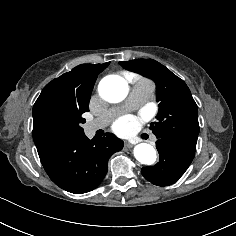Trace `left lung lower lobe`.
Wrapping results in <instances>:
<instances>
[{
  "mask_svg": "<svg viewBox=\"0 0 236 236\" xmlns=\"http://www.w3.org/2000/svg\"><path fill=\"white\" fill-rule=\"evenodd\" d=\"M196 143L176 137L159 138L156 148L160 155L159 162L154 166L143 167L145 179L154 185L168 186L175 183L188 169L195 151Z\"/></svg>",
  "mask_w": 236,
  "mask_h": 236,
  "instance_id": "obj_1",
  "label": "left lung lower lobe"
}]
</instances>
